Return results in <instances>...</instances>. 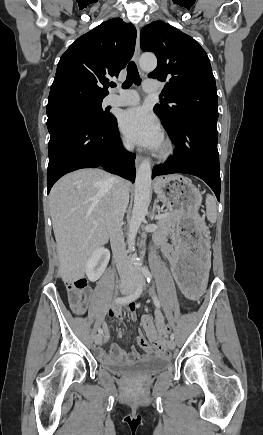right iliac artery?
Segmentation results:
<instances>
[{"instance_id": "right-iliac-artery-1", "label": "right iliac artery", "mask_w": 263, "mask_h": 435, "mask_svg": "<svg viewBox=\"0 0 263 435\" xmlns=\"http://www.w3.org/2000/svg\"><path fill=\"white\" fill-rule=\"evenodd\" d=\"M141 292H142V287L139 286L135 292H133L132 294L125 296V297H119L115 300V302L120 303V304L133 302L140 296ZM98 333L102 334L103 330L101 328H99Z\"/></svg>"}]
</instances>
